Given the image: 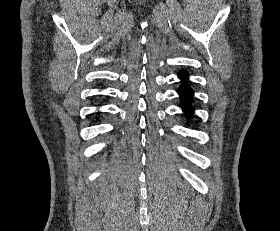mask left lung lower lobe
<instances>
[{
  "label": "left lung lower lobe",
  "instance_id": "0a47b994",
  "mask_svg": "<svg viewBox=\"0 0 280 231\" xmlns=\"http://www.w3.org/2000/svg\"><path fill=\"white\" fill-rule=\"evenodd\" d=\"M178 75L179 78H181L182 80V85L178 90L182 102V108L183 111L186 113V116H190L191 113L193 112L192 107L190 105L191 98L193 95V90L188 85V81H187L188 73L186 71H180Z\"/></svg>",
  "mask_w": 280,
  "mask_h": 231
}]
</instances>
